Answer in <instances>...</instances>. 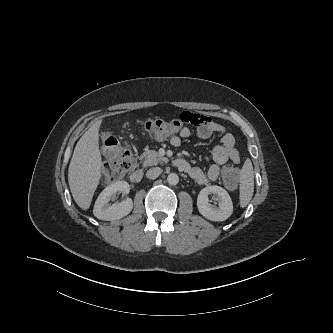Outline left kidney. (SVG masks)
I'll return each mask as SVG.
<instances>
[{
	"label": "left kidney",
	"instance_id": "left-kidney-1",
	"mask_svg": "<svg viewBox=\"0 0 333 333\" xmlns=\"http://www.w3.org/2000/svg\"><path fill=\"white\" fill-rule=\"evenodd\" d=\"M209 194H216L219 207L209 203ZM197 207L202 216L211 221H224L233 212V203L228 192L220 186L203 188L197 198Z\"/></svg>",
	"mask_w": 333,
	"mask_h": 333
}]
</instances>
